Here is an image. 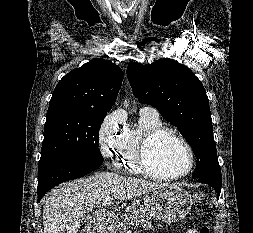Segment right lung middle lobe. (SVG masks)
I'll return each mask as SVG.
<instances>
[{
    "instance_id": "right-lung-middle-lobe-1",
    "label": "right lung middle lobe",
    "mask_w": 253,
    "mask_h": 233,
    "mask_svg": "<svg viewBox=\"0 0 253 233\" xmlns=\"http://www.w3.org/2000/svg\"><path fill=\"white\" fill-rule=\"evenodd\" d=\"M106 115V111L84 107H49L39 164L52 158L102 162L99 130Z\"/></svg>"
}]
</instances>
